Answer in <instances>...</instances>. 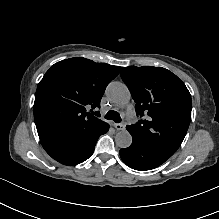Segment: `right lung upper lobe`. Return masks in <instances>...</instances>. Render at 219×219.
Segmentation results:
<instances>
[{
  "label": "right lung upper lobe",
  "mask_w": 219,
  "mask_h": 219,
  "mask_svg": "<svg viewBox=\"0 0 219 219\" xmlns=\"http://www.w3.org/2000/svg\"><path fill=\"white\" fill-rule=\"evenodd\" d=\"M120 67L82 57L57 62L39 82L34 118L40 140L92 134L105 124L88 112L100 108L106 86Z\"/></svg>",
  "instance_id": "cb5924a9"
}]
</instances>
